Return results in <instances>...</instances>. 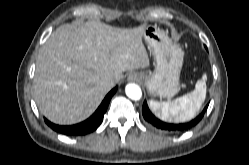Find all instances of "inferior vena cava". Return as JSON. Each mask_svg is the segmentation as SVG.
Returning <instances> with one entry per match:
<instances>
[{
  "label": "inferior vena cava",
  "instance_id": "inferior-vena-cava-1",
  "mask_svg": "<svg viewBox=\"0 0 249 165\" xmlns=\"http://www.w3.org/2000/svg\"><path fill=\"white\" fill-rule=\"evenodd\" d=\"M102 85L105 87V88H112L114 85H115V81L113 78H105L103 81H102Z\"/></svg>",
  "mask_w": 249,
  "mask_h": 165
}]
</instances>
